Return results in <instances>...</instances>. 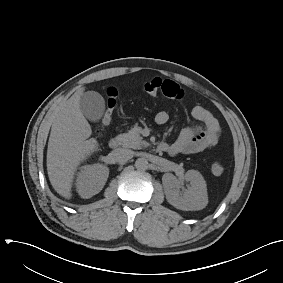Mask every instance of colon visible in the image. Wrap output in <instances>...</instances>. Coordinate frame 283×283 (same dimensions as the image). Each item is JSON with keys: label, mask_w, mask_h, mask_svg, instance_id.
Masks as SVG:
<instances>
[{"label": "colon", "mask_w": 283, "mask_h": 283, "mask_svg": "<svg viewBox=\"0 0 283 283\" xmlns=\"http://www.w3.org/2000/svg\"><path fill=\"white\" fill-rule=\"evenodd\" d=\"M162 84H163L162 79L154 78V79L147 81L144 84V90L149 95L156 96L161 92ZM116 97H117V90L113 87L108 88L107 90V109H106L105 115L101 122L102 127H104L109 122L110 115L116 103ZM211 170L213 174L221 175L224 172L225 167L222 163L215 162L212 164Z\"/></svg>", "instance_id": "5ec220e1"}]
</instances>
